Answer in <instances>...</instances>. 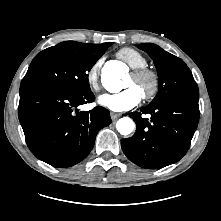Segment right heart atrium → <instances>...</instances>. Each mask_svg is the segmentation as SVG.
Listing matches in <instances>:
<instances>
[{"mask_svg":"<svg viewBox=\"0 0 221 221\" xmlns=\"http://www.w3.org/2000/svg\"><path fill=\"white\" fill-rule=\"evenodd\" d=\"M102 63L103 57H99L91 64V66L86 71V81L89 87L93 90L99 89V73Z\"/></svg>","mask_w":221,"mask_h":221,"instance_id":"d8ad5b80","label":"right heart atrium"}]
</instances>
